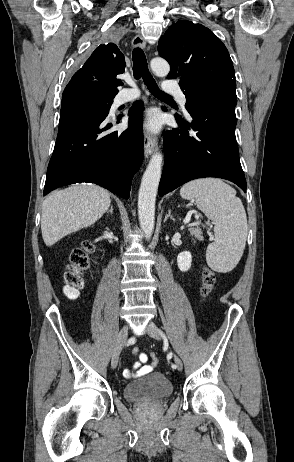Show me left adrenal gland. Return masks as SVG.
I'll return each instance as SVG.
<instances>
[{
    "label": "left adrenal gland",
    "mask_w": 294,
    "mask_h": 462,
    "mask_svg": "<svg viewBox=\"0 0 294 462\" xmlns=\"http://www.w3.org/2000/svg\"><path fill=\"white\" fill-rule=\"evenodd\" d=\"M168 218L174 220L173 216L171 215V210H168V213L166 214L164 218V222H166Z\"/></svg>",
    "instance_id": "left-adrenal-gland-1"
}]
</instances>
